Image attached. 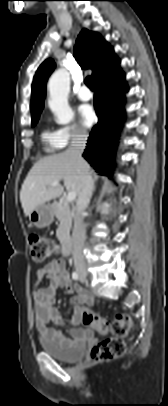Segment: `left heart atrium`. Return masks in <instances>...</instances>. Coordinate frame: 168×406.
Segmentation results:
<instances>
[{"label": "left heart atrium", "mask_w": 168, "mask_h": 406, "mask_svg": "<svg viewBox=\"0 0 168 406\" xmlns=\"http://www.w3.org/2000/svg\"><path fill=\"white\" fill-rule=\"evenodd\" d=\"M79 115L81 122L85 127H91L96 120L95 111L89 104H83L79 107Z\"/></svg>", "instance_id": "1"}]
</instances>
